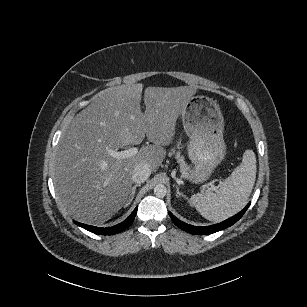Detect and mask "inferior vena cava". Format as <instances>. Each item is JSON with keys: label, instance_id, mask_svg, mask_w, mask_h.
Segmentation results:
<instances>
[{"label": "inferior vena cava", "instance_id": "1", "mask_svg": "<svg viewBox=\"0 0 307 307\" xmlns=\"http://www.w3.org/2000/svg\"><path fill=\"white\" fill-rule=\"evenodd\" d=\"M151 174V169L146 163H138L133 170L132 180L135 183L141 184L145 182Z\"/></svg>", "mask_w": 307, "mask_h": 307}]
</instances>
